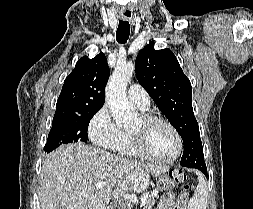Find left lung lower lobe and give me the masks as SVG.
I'll return each instance as SVG.
<instances>
[{
    "mask_svg": "<svg viewBox=\"0 0 253 209\" xmlns=\"http://www.w3.org/2000/svg\"><path fill=\"white\" fill-rule=\"evenodd\" d=\"M195 169L200 170L202 173H204L205 176H207V168L205 162L196 163Z\"/></svg>",
    "mask_w": 253,
    "mask_h": 209,
    "instance_id": "obj_1",
    "label": "left lung lower lobe"
}]
</instances>
